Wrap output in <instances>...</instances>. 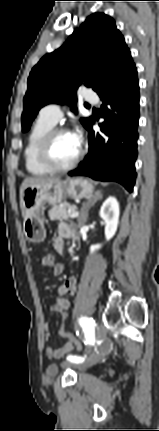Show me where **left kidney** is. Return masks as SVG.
Returning a JSON list of instances; mask_svg holds the SVG:
<instances>
[{
	"label": "left kidney",
	"mask_w": 159,
	"mask_h": 431,
	"mask_svg": "<svg viewBox=\"0 0 159 431\" xmlns=\"http://www.w3.org/2000/svg\"><path fill=\"white\" fill-rule=\"evenodd\" d=\"M100 217L105 222V237L106 240H110L116 233L118 228V221L120 215L119 203L115 197H109L102 204L100 209ZM101 244H95L90 246V252L98 250Z\"/></svg>",
	"instance_id": "5707ae66"
}]
</instances>
